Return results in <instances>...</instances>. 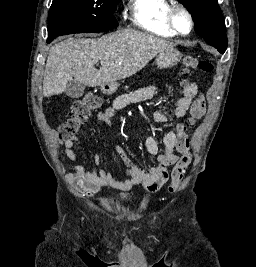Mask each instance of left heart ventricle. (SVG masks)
Wrapping results in <instances>:
<instances>
[{"label": "left heart ventricle", "mask_w": 256, "mask_h": 267, "mask_svg": "<svg viewBox=\"0 0 256 267\" xmlns=\"http://www.w3.org/2000/svg\"><path fill=\"white\" fill-rule=\"evenodd\" d=\"M175 20H176V24H177L178 28L182 32H186L189 29L188 19L183 12H181L179 10H175Z\"/></svg>", "instance_id": "left-heart-ventricle-1"}]
</instances>
